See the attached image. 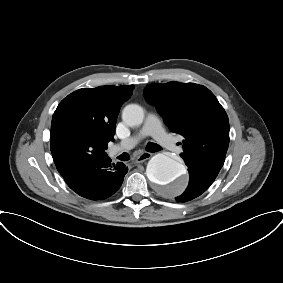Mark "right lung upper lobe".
I'll use <instances>...</instances> for the list:
<instances>
[{"label":"right lung upper lobe","instance_id":"1","mask_svg":"<svg viewBox=\"0 0 283 283\" xmlns=\"http://www.w3.org/2000/svg\"><path fill=\"white\" fill-rule=\"evenodd\" d=\"M133 85L79 89L58 105L51 124V152L58 172L72 169L106 156L108 142L114 140L121 105L131 96ZM91 155L82 160L81 148Z\"/></svg>","mask_w":283,"mask_h":283}]
</instances>
